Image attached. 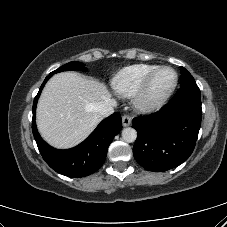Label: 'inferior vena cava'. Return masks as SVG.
Here are the masks:
<instances>
[{"mask_svg":"<svg viewBox=\"0 0 227 227\" xmlns=\"http://www.w3.org/2000/svg\"><path fill=\"white\" fill-rule=\"evenodd\" d=\"M115 101L105 99L96 104V111L102 116H109L114 113Z\"/></svg>","mask_w":227,"mask_h":227,"instance_id":"obj_1","label":"inferior vena cava"}]
</instances>
